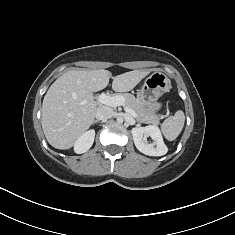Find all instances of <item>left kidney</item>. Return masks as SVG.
I'll list each match as a JSON object with an SVG mask.
<instances>
[{
	"label": "left kidney",
	"instance_id": "1",
	"mask_svg": "<svg viewBox=\"0 0 235 235\" xmlns=\"http://www.w3.org/2000/svg\"><path fill=\"white\" fill-rule=\"evenodd\" d=\"M132 136L136 148L148 156H162L168 151L167 146L163 141L160 129L156 125H148L145 127H134ZM147 137H151L152 144L145 141Z\"/></svg>",
	"mask_w": 235,
	"mask_h": 235
}]
</instances>
